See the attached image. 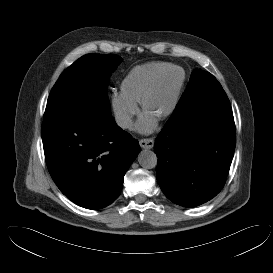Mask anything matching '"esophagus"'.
<instances>
[{
  "mask_svg": "<svg viewBox=\"0 0 273 273\" xmlns=\"http://www.w3.org/2000/svg\"><path fill=\"white\" fill-rule=\"evenodd\" d=\"M139 144L144 149H151L154 146V140L150 138L140 139Z\"/></svg>",
  "mask_w": 273,
  "mask_h": 273,
  "instance_id": "34e87169",
  "label": "esophagus"
}]
</instances>
